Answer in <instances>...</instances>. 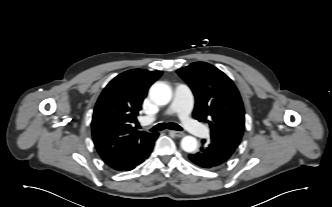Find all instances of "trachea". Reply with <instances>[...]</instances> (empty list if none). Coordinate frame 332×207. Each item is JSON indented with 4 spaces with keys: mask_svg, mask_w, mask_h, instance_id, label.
Listing matches in <instances>:
<instances>
[{
    "mask_svg": "<svg viewBox=\"0 0 332 207\" xmlns=\"http://www.w3.org/2000/svg\"><path fill=\"white\" fill-rule=\"evenodd\" d=\"M165 128L171 129V130H177V131H181L183 130L181 126H179L176 123H159L156 126H154L153 128L150 129V131H161L164 130Z\"/></svg>",
    "mask_w": 332,
    "mask_h": 207,
    "instance_id": "obj_1",
    "label": "trachea"
}]
</instances>
